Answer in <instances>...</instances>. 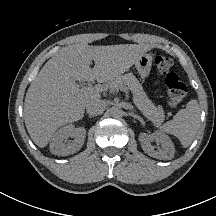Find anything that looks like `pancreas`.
Here are the masks:
<instances>
[{"label":"pancreas","mask_w":216,"mask_h":216,"mask_svg":"<svg viewBox=\"0 0 216 216\" xmlns=\"http://www.w3.org/2000/svg\"><path fill=\"white\" fill-rule=\"evenodd\" d=\"M111 89H119L120 86H127L133 93L134 103L143 115L151 120L154 124L160 125L164 119V110L161 106L156 107L148 99L138 79L132 74L118 76L108 82Z\"/></svg>","instance_id":"cf45deb5"}]
</instances>
